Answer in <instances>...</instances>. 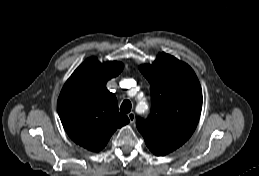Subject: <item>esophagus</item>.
<instances>
[{
  "mask_svg": "<svg viewBox=\"0 0 259 176\" xmlns=\"http://www.w3.org/2000/svg\"><path fill=\"white\" fill-rule=\"evenodd\" d=\"M128 118H129L131 124L134 123L135 122V114H134V112H130L128 114Z\"/></svg>",
  "mask_w": 259,
  "mask_h": 176,
  "instance_id": "obj_1",
  "label": "esophagus"
}]
</instances>
